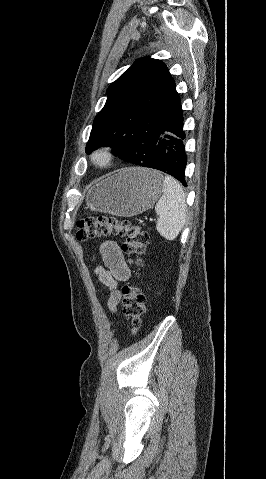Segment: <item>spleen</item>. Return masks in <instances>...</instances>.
<instances>
[{
	"instance_id": "obj_1",
	"label": "spleen",
	"mask_w": 266,
	"mask_h": 479,
	"mask_svg": "<svg viewBox=\"0 0 266 479\" xmlns=\"http://www.w3.org/2000/svg\"><path fill=\"white\" fill-rule=\"evenodd\" d=\"M155 211L158 233L166 240H175L186 223V196L178 181L169 175L164 178L163 193Z\"/></svg>"
}]
</instances>
